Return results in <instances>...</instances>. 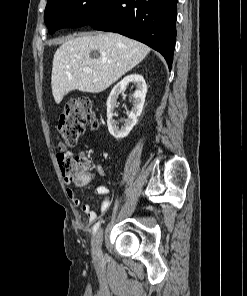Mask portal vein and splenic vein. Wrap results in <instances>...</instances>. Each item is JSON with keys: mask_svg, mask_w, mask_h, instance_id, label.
Here are the masks:
<instances>
[{"mask_svg": "<svg viewBox=\"0 0 247 296\" xmlns=\"http://www.w3.org/2000/svg\"><path fill=\"white\" fill-rule=\"evenodd\" d=\"M85 72H86V73H92V69L87 68V69H85Z\"/></svg>", "mask_w": 247, "mask_h": 296, "instance_id": "obj_1", "label": "portal vein and splenic vein"}]
</instances>
